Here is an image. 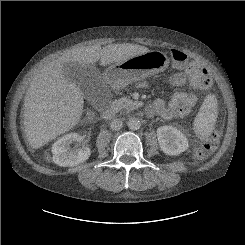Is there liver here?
<instances>
[{
	"label": "liver",
	"mask_w": 245,
	"mask_h": 245,
	"mask_svg": "<svg viewBox=\"0 0 245 245\" xmlns=\"http://www.w3.org/2000/svg\"><path fill=\"white\" fill-rule=\"evenodd\" d=\"M150 51L137 44H110L76 48L45 65L33 78L24 98V128L29 145L38 149L78 124L84 107L80 89L68 80V63L86 65L123 62Z\"/></svg>",
	"instance_id": "6515ba94"
}]
</instances>
